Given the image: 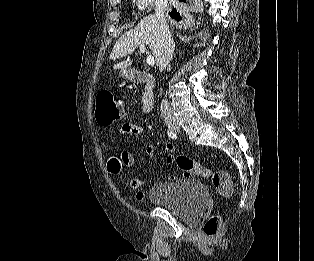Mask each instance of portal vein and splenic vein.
Listing matches in <instances>:
<instances>
[{
    "label": "portal vein and splenic vein",
    "instance_id": "portal-vein-and-splenic-vein-1",
    "mask_svg": "<svg viewBox=\"0 0 314 261\" xmlns=\"http://www.w3.org/2000/svg\"><path fill=\"white\" fill-rule=\"evenodd\" d=\"M140 52L141 53H145V45L144 44L140 45ZM146 63L149 66H153L155 64L154 57L151 56V55H148L147 58H146Z\"/></svg>",
    "mask_w": 314,
    "mask_h": 261
}]
</instances>
